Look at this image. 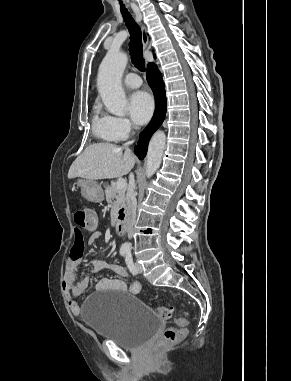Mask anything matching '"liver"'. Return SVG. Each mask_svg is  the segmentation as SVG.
<instances>
[{"label": "liver", "instance_id": "obj_1", "mask_svg": "<svg viewBox=\"0 0 291 381\" xmlns=\"http://www.w3.org/2000/svg\"><path fill=\"white\" fill-rule=\"evenodd\" d=\"M134 164L135 156L128 148L112 143H96L89 145L76 158L70 166L68 178L98 180L121 177L128 174Z\"/></svg>", "mask_w": 291, "mask_h": 381}]
</instances>
